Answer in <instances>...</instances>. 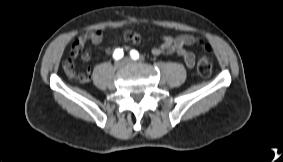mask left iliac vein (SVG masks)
Instances as JSON below:
<instances>
[{
	"label": "left iliac vein",
	"mask_w": 283,
	"mask_h": 162,
	"mask_svg": "<svg viewBox=\"0 0 283 162\" xmlns=\"http://www.w3.org/2000/svg\"><path fill=\"white\" fill-rule=\"evenodd\" d=\"M123 61L126 65L134 63V61L131 58H128V57L124 58Z\"/></svg>",
	"instance_id": "obj_1"
}]
</instances>
